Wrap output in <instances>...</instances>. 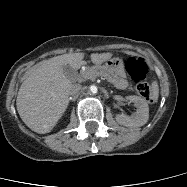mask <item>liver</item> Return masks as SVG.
I'll use <instances>...</instances> for the list:
<instances>
[{
	"instance_id": "1",
	"label": "liver",
	"mask_w": 187,
	"mask_h": 187,
	"mask_svg": "<svg viewBox=\"0 0 187 187\" xmlns=\"http://www.w3.org/2000/svg\"><path fill=\"white\" fill-rule=\"evenodd\" d=\"M112 53H92L93 64L100 65ZM84 53L64 54L38 63L20 86L16 106L22 121L34 132H51L69 103L72 82L66 77L63 66L79 69Z\"/></svg>"
}]
</instances>
